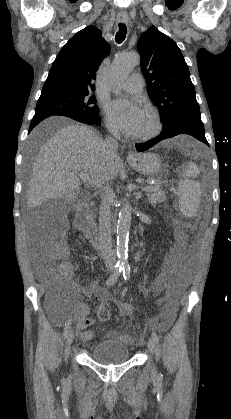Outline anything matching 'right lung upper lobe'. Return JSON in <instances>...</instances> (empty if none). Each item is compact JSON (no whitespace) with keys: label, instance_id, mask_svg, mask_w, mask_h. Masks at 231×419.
<instances>
[{"label":"right lung upper lobe","instance_id":"right-lung-upper-lobe-1","mask_svg":"<svg viewBox=\"0 0 231 419\" xmlns=\"http://www.w3.org/2000/svg\"><path fill=\"white\" fill-rule=\"evenodd\" d=\"M109 52L110 46L101 37L100 30L94 26L84 28L60 50L44 86L95 90L96 71Z\"/></svg>","mask_w":231,"mask_h":419}]
</instances>
